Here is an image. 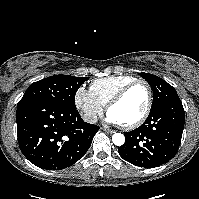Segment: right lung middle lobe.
Segmentation results:
<instances>
[{"mask_svg": "<svg viewBox=\"0 0 199 199\" xmlns=\"http://www.w3.org/2000/svg\"><path fill=\"white\" fill-rule=\"evenodd\" d=\"M89 77L54 75L32 83L19 104L44 100L66 108L76 109L75 94Z\"/></svg>", "mask_w": 199, "mask_h": 199, "instance_id": "right-lung-middle-lobe-1", "label": "right lung middle lobe"}]
</instances>
